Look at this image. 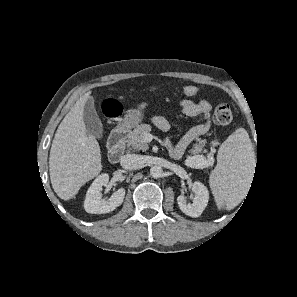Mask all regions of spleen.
Masks as SVG:
<instances>
[{
	"label": "spleen",
	"instance_id": "obj_1",
	"mask_svg": "<svg viewBox=\"0 0 297 297\" xmlns=\"http://www.w3.org/2000/svg\"><path fill=\"white\" fill-rule=\"evenodd\" d=\"M255 153L247 131L237 129L220 146L209 183L218 207L240 200L250 184Z\"/></svg>",
	"mask_w": 297,
	"mask_h": 297
}]
</instances>
